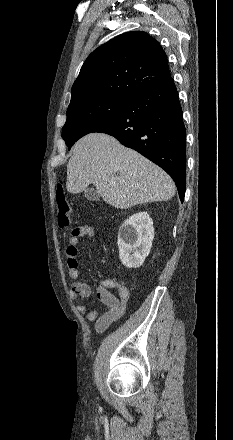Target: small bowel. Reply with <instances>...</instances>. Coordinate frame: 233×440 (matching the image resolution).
Wrapping results in <instances>:
<instances>
[{"instance_id":"obj_1","label":"small bowel","mask_w":233,"mask_h":440,"mask_svg":"<svg viewBox=\"0 0 233 440\" xmlns=\"http://www.w3.org/2000/svg\"><path fill=\"white\" fill-rule=\"evenodd\" d=\"M95 231L92 226L83 225L74 228L66 248L68 257L69 275L73 279L80 278L78 269L77 254L80 239L83 237H92ZM109 289H116L118 297L109 292ZM91 295L89 285L82 281H76L72 285L71 296L73 299H86ZM129 289L115 279H105L99 282L96 289V297L108 308L106 312L99 315L97 309L88 311L85 304L78 305V312L89 322L95 321L97 332H103L112 324L117 322L125 313L127 302L129 300Z\"/></svg>"}]
</instances>
